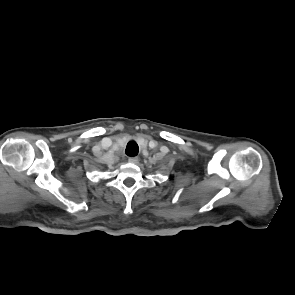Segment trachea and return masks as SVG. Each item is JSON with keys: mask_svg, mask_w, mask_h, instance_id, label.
Listing matches in <instances>:
<instances>
[{"mask_svg": "<svg viewBox=\"0 0 295 295\" xmlns=\"http://www.w3.org/2000/svg\"><path fill=\"white\" fill-rule=\"evenodd\" d=\"M138 151H139V147L136 142L131 141L127 144L125 152L128 156L134 157L138 154Z\"/></svg>", "mask_w": 295, "mask_h": 295, "instance_id": "obj_1", "label": "trachea"}]
</instances>
